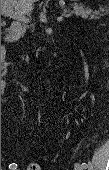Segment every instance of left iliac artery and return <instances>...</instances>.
<instances>
[{"label": "left iliac artery", "instance_id": "left-iliac-artery-1", "mask_svg": "<svg viewBox=\"0 0 109 170\" xmlns=\"http://www.w3.org/2000/svg\"><path fill=\"white\" fill-rule=\"evenodd\" d=\"M82 166L84 167V169H86L88 165L86 163H82Z\"/></svg>", "mask_w": 109, "mask_h": 170}]
</instances>
